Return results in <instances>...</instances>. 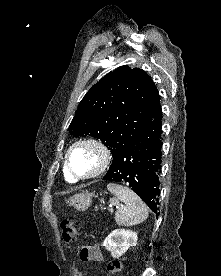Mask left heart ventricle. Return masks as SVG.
I'll use <instances>...</instances> for the list:
<instances>
[{"instance_id": "obj_1", "label": "left heart ventricle", "mask_w": 221, "mask_h": 276, "mask_svg": "<svg viewBox=\"0 0 221 276\" xmlns=\"http://www.w3.org/2000/svg\"><path fill=\"white\" fill-rule=\"evenodd\" d=\"M98 154L89 147L76 148L70 156V165L77 175H86L94 171L98 165Z\"/></svg>"}]
</instances>
